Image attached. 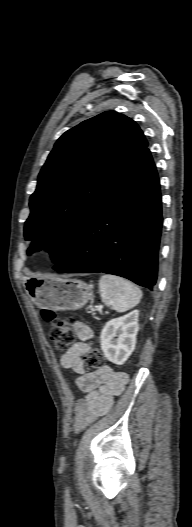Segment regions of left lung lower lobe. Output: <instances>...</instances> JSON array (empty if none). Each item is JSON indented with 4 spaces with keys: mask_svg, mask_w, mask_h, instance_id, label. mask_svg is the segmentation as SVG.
Instances as JSON below:
<instances>
[{
    "mask_svg": "<svg viewBox=\"0 0 192 527\" xmlns=\"http://www.w3.org/2000/svg\"><path fill=\"white\" fill-rule=\"evenodd\" d=\"M161 227L159 179L146 148L114 182L53 269L104 272L153 289Z\"/></svg>",
    "mask_w": 192,
    "mask_h": 527,
    "instance_id": "0a47b994",
    "label": "left lung lower lobe"
}]
</instances>
